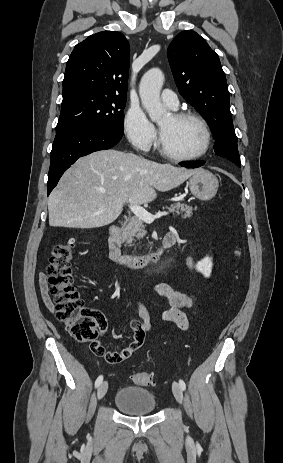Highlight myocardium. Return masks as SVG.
Segmentation results:
<instances>
[{
  "instance_id": "f54148a6",
  "label": "myocardium",
  "mask_w": 283,
  "mask_h": 463,
  "mask_svg": "<svg viewBox=\"0 0 283 463\" xmlns=\"http://www.w3.org/2000/svg\"><path fill=\"white\" fill-rule=\"evenodd\" d=\"M171 117L176 121H181L185 119H192V120L197 121L201 125L204 131V143H203L202 149L198 153L189 155V156H181V155H176V154L169 152L163 146L161 142V137H160L159 142H158L159 153L163 157L176 161V162H191V161H195V160L202 158L208 152L210 145H211V139H212L211 130L205 118L201 116L200 114L193 112V111L174 112L171 114Z\"/></svg>"
}]
</instances>
